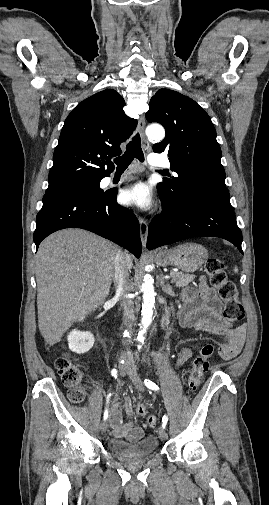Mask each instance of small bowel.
Returning <instances> with one entry per match:
<instances>
[{
	"label": "small bowel",
	"mask_w": 269,
	"mask_h": 505,
	"mask_svg": "<svg viewBox=\"0 0 269 505\" xmlns=\"http://www.w3.org/2000/svg\"><path fill=\"white\" fill-rule=\"evenodd\" d=\"M182 300L183 306L179 315L182 326L224 338V343L218 351L219 357L223 360H230L239 354L244 343L246 327L240 326L234 329L228 327V323L221 315V302L204 278L200 279L196 289L185 291ZM193 350V347L183 348L179 352L177 366L183 365L192 356ZM121 404L127 416L131 418L133 408L129 397L124 395ZM110 425L116 438L136 441L143 434V426H136L132 422L124 424L119 403H114L111 407Z\"/></svg>",
	"instance_id": "small-bowel-1"
}]
</instances>
